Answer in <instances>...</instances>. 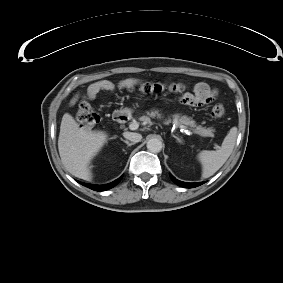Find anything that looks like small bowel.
I'll return each instance as SVG.
<instances>
[{"instance_id":"c3829d8e","label":"small bowel","mask_w":283,"mask_h":283,"mask_svg":"<svg viewBox=\"0 0 283 283\" xmlns=\"http://www.w3.org/2000/svg\"><path fill=\"white\" fill-rule=\"evenodd\" d=\"M137 85L136 80L133 78H124L120 80L117 84L108 80L99 81L91 84L88 87L87 94L90 99H95L101 90H106L110 93H114L117 89H131ZM216 92L210 89L204 83H198L192 95L179 94L178 100L181 103L196 106L203 105L212 102L215 99ZM78 100V95L75 94L71 100L70 104H75Z\"/></svg>"}]
</instances>
